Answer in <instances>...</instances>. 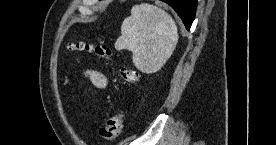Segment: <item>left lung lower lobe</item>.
<instances>
[{
	"instance_id": "obj_1",
	"label": "left lung lower lobe",
	"mask_w": 276,
	"mask_h": 145,
	"mask_svg": "<svg viewBox=\"0 0 276 145\" xmlns=\"http://www.w3.org/2000/svg\"><path fill=\"white\" fill-rule=\"evenodd\" d=\"M169 4L182 19L187 30L190 29L195 18L197 0H162Z\"/></svg>"
}]
</instances>
